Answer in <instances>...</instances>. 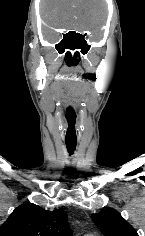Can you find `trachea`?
<instances>
[{
  "label": "trachea",
  "instance_id": "trachea-1",
  "mask_svg": "<svg viewBox=\"0 0 145 236\" xmlns=\"http://www.w3.org/2000/svg\"><path fill=\"white\" fill-rule=\"evenodd\" d=\"M65 143H66L68 153L73 154L76 149L77 142H67L66 141Z\"/></svg>",
  "mask_w": 145,
  "mask_h": 236
}]
</instances>
